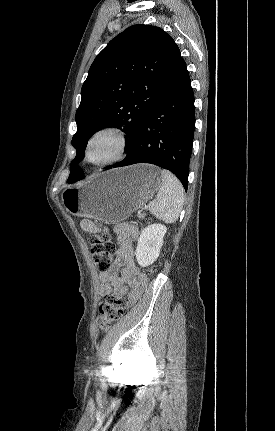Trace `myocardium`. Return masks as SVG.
Masks as SVG:
<instances>
[{
	"label": "myocardium",
	"mask_w": 275,
	"mask_h": 431,
	"mask_svg": "<svg viewBox=\"0 0 275 431\" xmlns=\"http://www.w3.org/2000/svg\"><path fill=\"white\" fill-rule=\"evenodd\" d=\"M105 135H109L114 138L116 143L115 151L106 159H103L100 161L91 160L90 148L92 144L95 142V140ZM127 149H128V139H127L126 133L118 126L105 125L96 129L86 140L85 146H84V160L88 164L95 167L109 166L123 160L126 156Z\"/></svg>",
	"instance_id": "obj_1"
}]
</instances>
